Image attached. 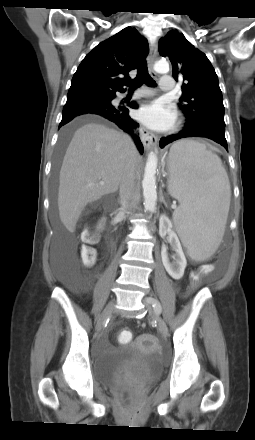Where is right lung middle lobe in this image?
I'll return each mask as SVG.
<instances>
[{"label":"right lung middle lobe","instance_id":"right-lung-middle-lobe-1","mask_svg":"<svg viewBox=\"0 0 255 440\" xmlns=\"http://www.w3.org/2000/svg\"><path fill=\"white\" fill-rule=\"evenodd\" d=\"M65 143V139L62 140V145Z\"/></svg>","mask_w":255,"mask_h":440}]
</instances>
